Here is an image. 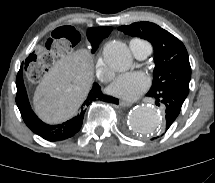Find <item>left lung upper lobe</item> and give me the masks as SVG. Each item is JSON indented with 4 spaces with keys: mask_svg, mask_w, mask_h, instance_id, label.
Instances as JSON below:
<instances>
[{
    "mask_svg": "<svg viewBox=\"0 0 215 183\" xmlns=\"http://www.w3.org/2000/svg\"><path fill=\"white\" fill-rule=\"evenodd\" d=\"M120 29L127 35L148 40L154 47L155 69L150 92L175 88L188 95L191 67L187 50L179 39L150 22L124 25Z\"/></svg>",
    "mask_w": 215,
    "mask_h": 183,
    "instance_id": "5c2ea615",
    "label": "left lung upper lobe"
}]
</instances>
